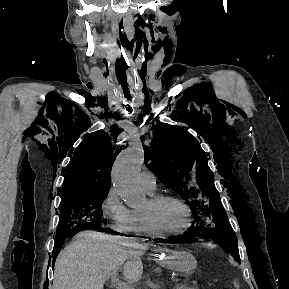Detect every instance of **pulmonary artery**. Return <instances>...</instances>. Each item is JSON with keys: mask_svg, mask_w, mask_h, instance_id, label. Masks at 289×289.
Wrapping results in <instances>:
<instances>
[{"mask_svg": "<svg viewBox=\"0 0 289 289\" xmlns=\"http://www.w3.org/2000/svg\"><path fill=\"white\" fill-rule=\"evenodd\" d=\"M140 185L149 193L153 194L156 190V178L154 174L145 169L139 176Z\"/></svg>", "mask_w": 289, "mask_h": 289, "instance_id": "obj_1", "label": "pulmonary artery"}]
</instances>
